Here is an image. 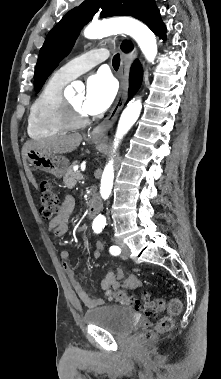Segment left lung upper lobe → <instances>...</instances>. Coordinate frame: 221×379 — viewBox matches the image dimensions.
I'll use <instances>...</instances> for the list:
<instances>
[{
	"label": "left lung upper lobe",
	"mask_w": 221,
	"mask_h": 379,
	"mask_svg": "<svg viewBox=\"0 0 221 379\" xmlns=\"http://www.w3.org/2000/svg\"><path fill=\"white\" fill-rule=\"evenodd\" d=\"M154 4V0H85L79 7L69 11L48 33L40 50L34 74L36 92H39L47 77L68 55L80 30L92 20L100 7L102 18L129 15L141 20Z\"/></svg>",
	"instance_id": "5c2ea615"
}]
</instances>
